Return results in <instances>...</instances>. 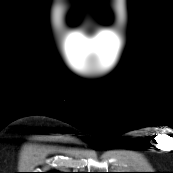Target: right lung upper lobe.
Listing matches in <instances>:
<instances>
[{
  "instance_id": "right-lung-upper-lobe-1",
  "label": "right lung upper lobe",
  "mask_w": 173,
  "mask_h": 173,
  "mask_svg": "<svg viewBox=\"0 0 173 173\" xmlns=\"http://www.w3.org/2000/svg\"><path fill=\"white\" fill-rule=\"evenodd\" d=\"M48 173H60V172H48Z\"/></svg>"
}]
</instances>
